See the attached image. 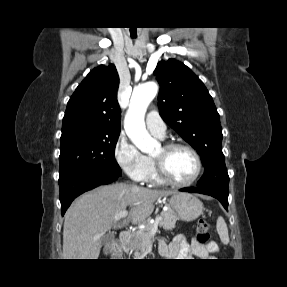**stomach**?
<instances>
[{
	"label": "stomach",
	"mask_w": 287,
	"mask_h": 287,
	"mask_svg": "<svg viewBox=\"0 0 287 287\" xmlns=\"http://www.w3.org/2000/svg\"><path fill=\"white\" fill-rule=\"evenodd\" d=\"M169 207L177 219L185 222L196 220L203 212V204L197 197L182 192L172 194Z\"/></svg>",
	"instance_id": "0dacf381"
}]
</instances>
